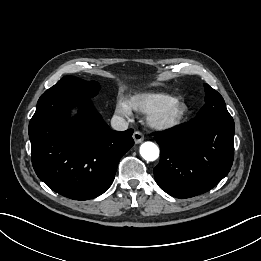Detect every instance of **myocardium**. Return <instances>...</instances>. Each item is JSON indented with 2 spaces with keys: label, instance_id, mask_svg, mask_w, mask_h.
<instances>
[{
  "label": "myocardium",
  "instance_id": "1",
  "mask_svg": "<svg viewBox=\"0 0 261 261\" xmlns=\"http://www.w3.org/2000/svg\"><path fill=\"white\" fill-rule=\"evenodd\" d=\"M187 113L186 104L178 98H171L148 117L149 125L157 130H167L178 125Z\"/></svg>",
  "mask_w": 261,
  "mask_h": 261
}]
</instances>
